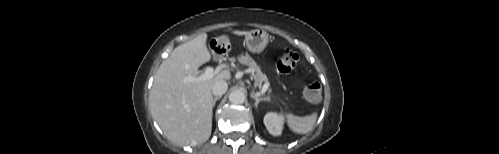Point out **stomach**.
<instances>
[{
	"label": "stomach",
	"mask_w": 499,
	"mask_h": 154,
	"mask_svg": "<svg viewBox=\"0 0 499 154\" xmlns=\"http://www.w3.org/2000/svg\"><path fill=\"white\" fill-rule=\"evenodd\" d=\"M216 40L217 44L221 47L224 46L226 48L229 45V40L226 36L218 37ZM268 42L269 34L265 30L255 29L245 35V43L251 52H262L267 47Z\"/></svg>",
	"instance_id": "1"
}]
</instances>
